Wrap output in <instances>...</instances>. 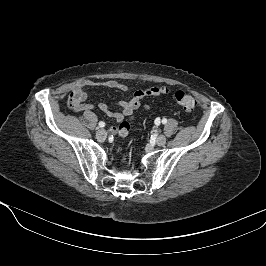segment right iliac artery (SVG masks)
<instances>
[{"instance_id": "obj_1", "label": "right iliac artery", "mask_w": 266, "mask_h": 266, "mask_svg": "<svg viewBox=\"0 0 266 266\" xmlns=\"http://www.w3.org/2000/svg\"><path fill=\"white\" fill-rule=\"evenodd\" d=\"M105 126V123L104 122H99V127H104Z\"/></svg>"}]
</instances>
